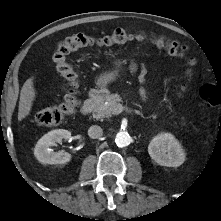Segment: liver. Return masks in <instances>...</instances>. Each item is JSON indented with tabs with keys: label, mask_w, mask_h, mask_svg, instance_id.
<instances>
[{
	"label": "liver",
	"mask_w": 221,
	"mask_h": 221,
	"mask_svg": "<svg viewBox=\"0 0 221 221\" xmlns=\"http://www.w3.org/2000/svg\"><path fill=\"white\" fill-rule=\"evenodd\" d=\"M33 77L29 78L23 85L20 93L18 120L27 117L31 111L33 101L36 97V90L33 85Z\"/></svg>",
	"instance_id": "obj_1"
}]
</instances>
